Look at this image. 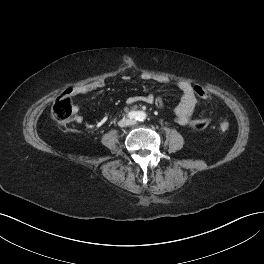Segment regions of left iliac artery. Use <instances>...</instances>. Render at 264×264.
<instances>
[{"label":"left iliac artery","mask_w":264,"mask_h":264,"mask_svg":"<svg viewBox=\"0 0 264 264\" xmlns=\"http://www.w3.org/2000/svg\"><path fill=\"white\" fill-rule=\"evenodd\" d=\"M146 119V114L144 112H140L139 113V117H138V120L139 121H143Z\"/></svg>","instance_id":"1"}]
</instances>
